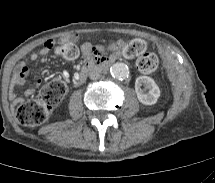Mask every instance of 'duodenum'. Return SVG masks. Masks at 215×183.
Returning <instances> with one entry per match:
<instances>
[{
	"mask_svg": "<svg viewBox=\"0 0 215 183\" xmlns=\"http://www.w3.org/2000/svg\"><path fill=\"white\" fill-rule=\"evenodd\" d=\"M111 61L112 60L110 58H96L88 61L87 63L84 64V66L79 71V74L76 80L73 82V85L74 86L79 85L84 81L88 73L107 67L111 63Z\"/></svg>",
	"mask_w": 215,
	"mask_h": 183,
	"instance_id": "410a0bca",
	"label": "duodenum"
}]
</instances>
